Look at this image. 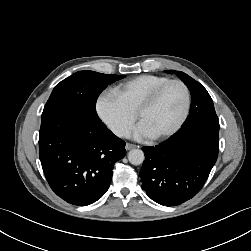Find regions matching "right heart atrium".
<instances>
[{"instance_id":"obj_1","label":"right heart atrium","mask_w":251,"mask_h":251,"mask_svg":"<svg viewBox=\"0 0 251 251\" xmlns=\"http://www.w3.org/2000/svg\"><path fill=\"white\" fill-rule=\"evenodd\" d=\"M95 109L100 120L118 137L129 134L135 122L130 111L115 90H103L97 97Z\"/></svg>"}]
</instances>
